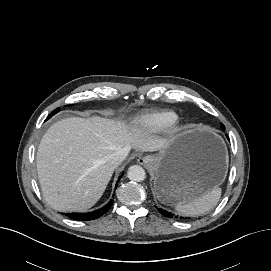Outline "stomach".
Instances as JSON below:
<instances>
[{"label": "stomach", "mask_w": 271, "mask_h": 271, "mask_svg": "<svg viewBox=\"0 0 271 271\" xmlns=\"http://www.w3.org/2000/svg\"><path fill=\"white\" fill-rule=\"evenodd\" d=\"M154 193L164 204L195 199L221 184L228 169L222 138L204 127H188L151 156Z\"/></svg>", "instance_id": "1"}]
</instances>
